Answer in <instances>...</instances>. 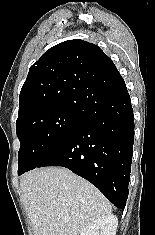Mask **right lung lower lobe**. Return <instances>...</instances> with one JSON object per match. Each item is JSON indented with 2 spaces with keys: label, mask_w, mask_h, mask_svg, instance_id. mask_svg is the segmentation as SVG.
Instances as JSON below:
<instances>
[{
  "label": "right lung lower lobe",
  "mask_w": 155,
  "mask_h": 235,
  "mask_svg": "<svg viewBox=\"0 0 155 235\" xmlns=\"http://www.w3.org/2000/svg\"><path fill=\"white\" fill-rule=\"evenodd\" d=\"M78 113L83 124L37 167H66L124 209L129 192L134 116L123 78L92 89Z\"/></svg>",
  "instance_id": "obj_1"
}]
</instances>
